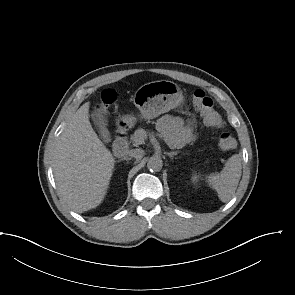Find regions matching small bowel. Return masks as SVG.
<instances>
[{
  "mask_svg": "<svg viewBox=\"0 0 295 295\" xmlns=\"http://www.w3.org/2000/svg\"><path fill=\"white\" fill-rule=\"evenodd\" d=\"M157 127L168 135L171 143L176 146L187 144L194 138L191 125L178 117L163 116L158 120Z\"/></svg>",
  "mask_w": 295,
  "mask_h": 295,
  "instance_id": "small-bowel-1",
  "label": "small bowel"
}]
</instances>
